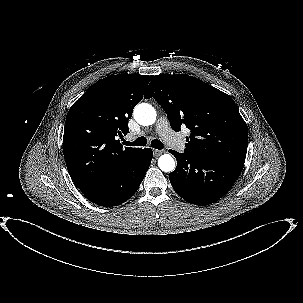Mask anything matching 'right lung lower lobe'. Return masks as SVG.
<instances>
[{
	"label": "right lung lower lobe",
	"instance_id": "obj_1",
	"mask_svg": "<svg viewBox=\"0 0 303 303\" xmlns=\"http://www.w3.org/2000/svg\"><path fill=\"white\" fill-rule=\"evenodd\" d=\"M153 157L150 148H144L139 157L106 183L83 193L93 203L118 206L127 201L139 188Z\"/></svg>",
	"mask_w": 303,
	"mask_h": 303
}]
</instances>
